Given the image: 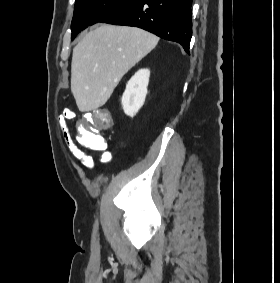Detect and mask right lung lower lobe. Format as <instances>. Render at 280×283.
Returning a JSON list of instances; mask_svg holds the SVG:
<instances>
[{
    "label": "right lung lower lobe",
    "instance_id": "right-lung-lower-lobe-1",
    "mask_svg": "<svg viewBox=\"0 0 280 283\" xmlns=\"http://www.w3.org/2000/svg\"><path fill=\"white\" fill-rule=\"evenodd\" d=\"M192 0H133L101 23L139 27L179 43L189 53Z\"/></svg>",
    "mask_w": 280,
    "mask_h": 283
}]
</instances>
